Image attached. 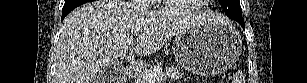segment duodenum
<instances>
[{
  "mask_svg": "<svg viewBox=\"0 0 307 83\" xmlns=\"http://www.w3.org/2000/svg\"><path fill=\"white\" fill-rule=\"evenodd\" d=\"M134 73H135V71L132 70L131 68H128V69H127V74H134Z\"/></svg>",
  "mask_w": 307,
  "mask_h": 83,
  "instance_id": "410a0bca",
  "label": "duodenum"
}]
</instances>
